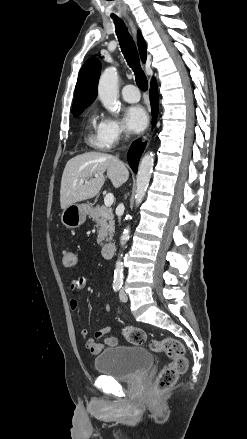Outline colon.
Listing matches in <instances>:
<instances>
[{
  "label": "colon",
  "mask_w": 247,
  "mask_h": 439,
  "mask_svg": "<svg viewBox=\"0 0 247 439\" xmlns=\"http://www.w3.org/2000/svg\"><path fill=\"white\" fill-rule=\"evenodd\" d=\"M63 264L69 268L75 267L77 265L76 255L70 251L64 252ZM123 336L133 345H142L147 341L144 330L136 326H126L123 329ZM149 347L154 352H164L168 359V363L160 371L154 384V391L160 393L177 382L179 376L186 371L188 360L184 346L175 339L152 340Z\"/></svg>",
  "instance_id": "5ec220e1"
}]
</instances>
